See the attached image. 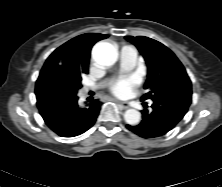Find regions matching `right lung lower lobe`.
<instances>
[{
  "mask_svg": "<svg viewBox=\"0 0 222 187\" xmlns=\"http://www.w3.org/2000/svg\"><path fill=\"white\" fill-rule=\"evenodd\" d=\"M74 91L58 70H41L36 82L37 107L46 125L61 137L78 136L91 128L99 115L101 102L82 108Z\"/></svg>",
  "mask_w": 222,
  "mask_h": 187,
  "instance_id": "obj_1",
  "label": "right lung lower lobe"
}]
</instances>
